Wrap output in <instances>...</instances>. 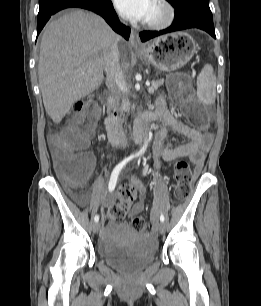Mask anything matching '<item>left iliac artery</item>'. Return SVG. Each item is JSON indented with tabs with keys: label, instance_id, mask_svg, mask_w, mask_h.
<instances>
[{
	"label": "left iliac artery",
	"instance_id": "1",
	"mask_svg": "<svg viewBox=\"0 0 261 306\" xmlns=\"http://www.w3.org/2000/svg\"><path fill=\"white\" fill-rule=\"evenodd\" d=\"M160 221H161V222H164V221H165V217H164L163 214L160 215Z\"/></svg>",
	"mask_w": 261,
	"mask_h": 306
}]
</instances>
